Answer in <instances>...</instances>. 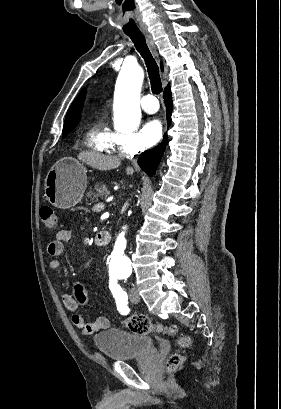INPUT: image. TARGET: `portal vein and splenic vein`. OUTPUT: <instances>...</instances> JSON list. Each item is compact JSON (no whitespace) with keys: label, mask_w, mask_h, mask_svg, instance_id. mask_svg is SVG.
Returning a JSON list of instances; mask_svg holds the SVG:
<instances>
[{"label":"portal vein and splenic vein","mask_w":281,"mask_h":409,"mask_svg":"<svg viewBox=\"0 0 281 409\" xmlns=\"http://www.w3.org/2000/svg\"><path fill=\"white\" fill-rule=\"evenodd\" d=\"M101 204H103V203H101ZM100 203H97V204H95L92 208H91V211L93 212V213H96L98 210H100L102 207H104V205H101ZM103 210V209H102Z\"/></svg>","instance_id":"18ae733b"}]
</instances>
